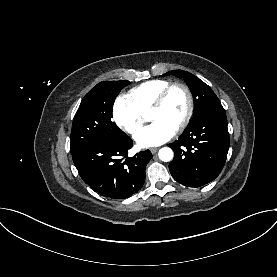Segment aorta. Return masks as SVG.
I'll return each mask as SVG.
<instances>
[{"label":"aorta","mask_w":277,"mask_h":277,"mask_svg":"<svg viewBox=\"0 0 277 277\" xmlns=\"http://www.w3.org/2000/svg\"><path fill=\"white\" fill-rule=\"evenodd\" d=\"M159 159L164 162H169L173 159V151L169 147H163L158 153Z\"/></svg>","instance_id":"aorta-1"}]
</instances>
